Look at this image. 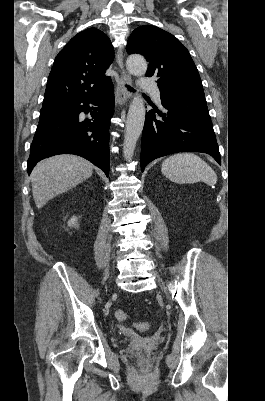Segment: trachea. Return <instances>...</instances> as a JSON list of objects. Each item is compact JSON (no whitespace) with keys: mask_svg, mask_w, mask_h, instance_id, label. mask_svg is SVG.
<instances>
[{"mask_svg":"<svg viewBox=\"0 0 265 401\" xmlns=\"http://www.w3.org/2000/svg\"><path fill=\"white\" fill-rule=\"evenodd\" d=\"M127 88H128V90H129V91H131V92H135V89H133L132 87H130V86H127Z\"/></svg>","mask_w":265,"mask_h":401,"instance_id":"3493384b","label":"trachea"}]
</instances>
